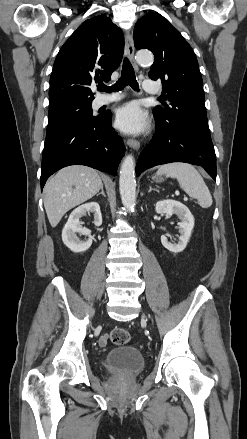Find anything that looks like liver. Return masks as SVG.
Here are the masks:
<instances>
[{
  "mask_svg": "<svg viewBox=\"0 0 247 439\" xmlns=\"http://www.w3.org/2000/svg\"><path fill=\"white\" fill-rule=\"evenodd\" d=\"M98 172L88 166L72 165L58 171L44 187V207L52 227L64 214L95 196L102 186Z\"/></svg>",
  "mask_w": 247,
  "mask_h": 439,
  "instance_id": "liver-1",
  "label": "liver"
}]
</instances>
